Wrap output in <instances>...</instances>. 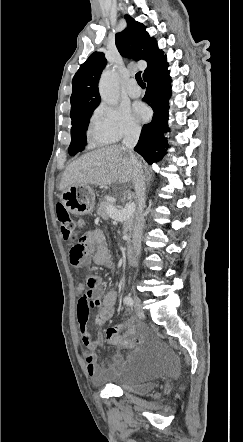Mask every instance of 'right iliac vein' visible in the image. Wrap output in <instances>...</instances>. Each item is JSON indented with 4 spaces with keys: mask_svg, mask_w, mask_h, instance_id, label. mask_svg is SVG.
<instances>
[{
    "mask_svg": "<svg viewBox=\"0 0 243 442\" xmlns=\"http://www.w3.org/2000/svg\"><path fill=\"white\" fill-rule=\"evenodd\" d=\"M133 302H134V308H135L138 316L143 318L145 316L144 310H143L141 301L136 294L133 295Z\"/></svg>",
    "mask_w": 243,
    "mask_h": 442,
    "instance_id": "obj_1",
    "label": "right iliac vein"
}]
</instances>
